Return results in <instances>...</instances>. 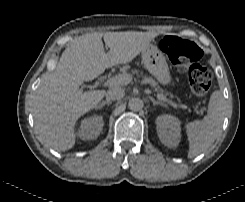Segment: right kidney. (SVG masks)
<instances>
[{
	"instance_id": "right-kidney-1",
	"label": "right kidney",
	"mask_w": 245,
	"mask_h": 202,
	"mask_svg": "<svg viewBox=\"0 0 245 202\" xmlns=\"http://www.w3.org/2000/svg\"><path fill=\"white\" fill-rule=\"evenodd\" d=\"M103 125L104 122L102 116L94 115L85 118L81 121L77 135L83 140H94L102 132Z\"/></svg>"
}]
</instances>
